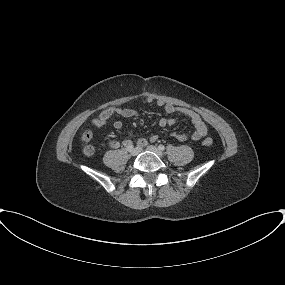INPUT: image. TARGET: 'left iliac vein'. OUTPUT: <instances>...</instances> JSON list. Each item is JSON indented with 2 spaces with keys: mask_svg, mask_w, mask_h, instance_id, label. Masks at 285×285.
I'll return each mask as SVG.
<instances>
[{
  "mask_svg": "<svg viewBox=\"0 0 285 285\" xmlns=\"http://www.w3.org/2000/svg\"><path fill=\"white\" fill-rule=\"evenodd\" d=\"M147 150H148V151H151V152H153V153H155V154L158 155L159 157H162V156H163L162 151H161L159 148H157L156 146L149 145V146H147Z\"/></svg>",
  "mask_w": 285,
  "mask_h": 285,
  "instance_id": "1",
  "label": "left iliac vein"
}]
</instances>
